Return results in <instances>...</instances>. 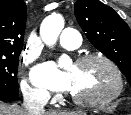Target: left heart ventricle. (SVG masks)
Instances as JSON below:
<instances>
[{"mask_svg":"<svg viewBox=\"0 0 131 115\" xmlns=\"http://www.w3.org/2000/svg\"><path fill=\"white\" fill-rule=\"evenodd\" d=\"M72 76V94L80 98H104L116 87L111 68L99 60H93L68 68Z\"/></svg>","mask_w":131,"mask_h":115,"instance_id":"left-heart-ventricle-1","label":"left heart ventricle"}]
</instances>
